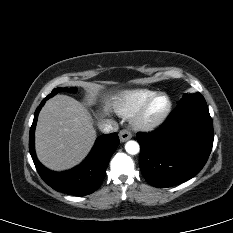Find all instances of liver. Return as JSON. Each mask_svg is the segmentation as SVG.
Returning <instances> with one entry per match:
<instances>
[{"instance_id":"liver-1","label":"liver","mask_w":233,"mask_h":233,"mask_svg":"<svg viewBox=\"0 0 233 233\" xmlns=\"http://www.w3.org/2000/svg\"><path fill=\"white\" fill-rule=\"evenodd\" d=\"M97 87L89 93L91 100ZM110 105L109 101L106 106ZM89 111L67 95L49 99L39 113L35 131V149L40 162L54 171L78 165L89 153L96 139Z\"/></svg>"}]
</instances>
